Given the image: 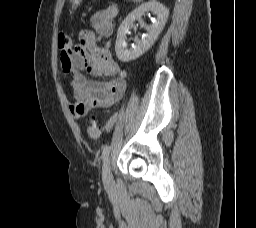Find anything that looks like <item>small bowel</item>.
<instances>
[{"instance_id": "1", "label": "small bowel", "mask_w": 256, "mask_h": 228, "mask_svg": "<svg viewBox=\"0 0 256 228\" xmlns=\"http://www.w3.org/2000/svg\"><path fill=\"white\" fill-rule=\"evenodd\" d=\"M117 6L96 12L91 17L93 31L80 34V44L73 46L71 52L61 50V66L70 76L74 102L70 111L78 120L94 108H106L120 100L126 89L127 72L112 57L110 51L97 46L96 34L109 37L113 33ZM84 71L98 77L111 76L110 80L88 78Z\"/></svg>"}]
</instances>
